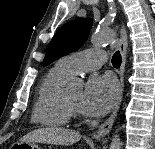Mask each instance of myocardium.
I'll return each instance as SVG.
<instances>
[{
  "label": "myocardium",
  "instance_id": "obj_1",
  "mask_svg": "<svg viewBox=\"0 0 155 149\" xmlns=\"http://www.w3.org/2000/svg\"><path fill=\"white\" fill-rule=\"evenodd\" d=\"M63 103L70 115L72 116L79 115V109L69 102L65 93H63Z\"/></svg>",
  "mask_w": 155,
  "mask_h": 149
}]
</instances>
